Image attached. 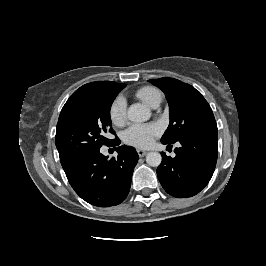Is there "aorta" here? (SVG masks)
<instances>
[{
	"label": "aorta",
	"instance_id": "762f6f07",
	"mask_svg": "<svg viewBox=\"0 0 266 266\" xmlns=\"http://www.w3.org/2000/svg\"><path fill=\"white\" fill-rule=\"evenodd\" d=\"M127 116L130 121L135 123H140L147 121L151 116V112L150 109L147 108L145 105L140 103H135L129 107ZM161 161H162V156L158 152H149L146 155V162L149 166L157 167L161 164Z\"/></svg>",
	"mask_w": 266,
	"mask_h": 266
}]
</instances>
